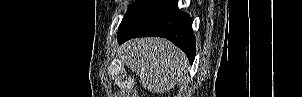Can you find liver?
Listing matches in <instances>:
<instances>
[{"label":"liver","mask_w":302,"mask_h":97,"mask_svg":"<svg viewBox=\"0 0 302 97\" xmlns=\"http://www.w3.org/2000/svg\"><path fill=\"white\" fill-rule=\"evenodd\" d=\"M120 50L126 66L139 76L140 84L152 93L169 92L187 74V57L166 39H132L124 43Z\"/></svg>","instance_id":"liver-1"}]
</instances>
